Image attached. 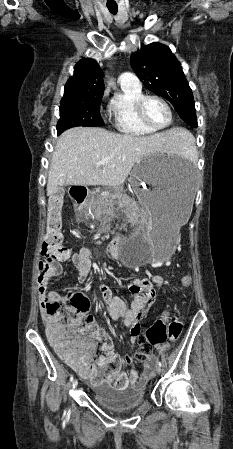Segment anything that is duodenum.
I'll list each match as a JSON object with an SVG mask.
<instances>
[{
	"mask_svg": "<svg viewBox=\"0 0 233 449\" xmlns=\"http://www.w3.org/2000/svg\"><path fill=\"white\" fill-rule=\"evenodd\" d=\"M88 191L87 186H71L70 198L72 206H85Z\"/></svg>",
	"mask_w": 233,
	"mask_h": 449,
	"instance_id": "obj_1",
	"label": "duodenum"
}]
</instances>
